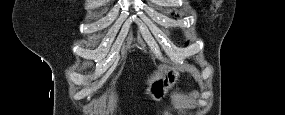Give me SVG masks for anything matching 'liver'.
I'll list each match as a JSON object with an SVG mask.
<instances>
[{"label": "liver", "mask_w": 285, "mask_h": 115, "mask_svg": "<svg viewBox=\"0 0 285 115\" xmlns=\"http://www.w3.org/2000/svg\"><path fill=\"white\" fill-rule=\"evenodd\" d=\"M167 68V66L163 65L161 66V70L156 71L153 76H151V78L148 80V83H151L153 80L159 78L162 76V71L165 70Z\"/></svg>", "instance_id": "1"}]
</instances>
